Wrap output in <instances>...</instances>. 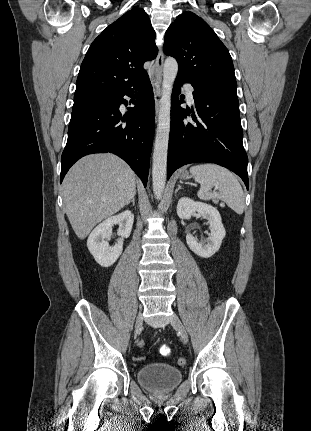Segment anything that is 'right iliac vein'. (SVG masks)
Masks as SVG:
<instances>
[{"label":"right iliac vein","instance_id":"right-iliac-vein-1","mask_svg":"<svg viewBox=\"0 0 311 431\" xmlns=\"http://www.w3.org/2000/svg\"><path fill=\"white\" fill-rule=\"evenodd\" d=\"M142 323H143V317H142V314L139 313L137 316V319H136V323H135V335L138 334V332L142 326Z\"/></svg>","mask_w":311,"mask_h":431}]
</instances>
